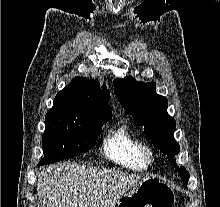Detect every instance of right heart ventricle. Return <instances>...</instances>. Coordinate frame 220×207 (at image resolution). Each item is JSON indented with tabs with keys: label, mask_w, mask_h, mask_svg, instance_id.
I'll list each match as a JSON object with an SVG mask.
<instances>
[{
	"label": "right heart ventricle",
	"mask_w": 220,
	"mask_h": 207,
	"mask_svg": "<svg viewBox=\"0 0 220 207\" xmlns=\"http://www.w3.org/2000/svg\"><path fill=\"white\" fill-rule=\"evenodd\" d=\"M139 142L125 125L109 132L103 141L104 155L111 161L130 169H144Z\"/></svg>",
	"instance_id": "1"
}]
</instances>
